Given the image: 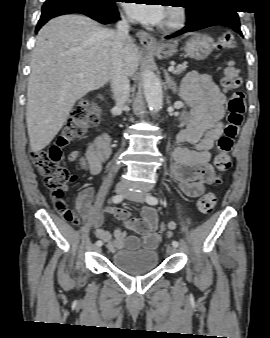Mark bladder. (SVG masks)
Instances as JSON below:
<instances>
[{
  "label": "bladder",
  "mask_w": 270,
  "mask_h": 338,
  "mask_svg": "<svg viewBox=\"0 0 270 338\" xmlns=\"http://www.w3.org/2000/svg\"><path fill=\"white\" fill-rule=\"evenodd\" d=\"M158 253L155 249L130 251L126 248L115 251L110 264L117 270L132 276H140L158 267Z\"/></svg>",
  "instance_id": "31cf9c89"
}]
</instances>
